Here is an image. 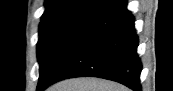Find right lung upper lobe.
Listing matches in <instances>:
<instances>
[{"instance_id": "1", "label": "right lung upper lobe", "mask_w": 173, "mask_h": 91, "mask_svg": "<svg viewBox=\"0 0 173 91\" xmlns=\"http://www.w3.org/2000/svg\"><path fill=\"white\" fill-rule=\"evenodd\" d=\"M104 0H46L45 12L41 24H50L61 21L79 20L88 21L100 11L106 9L102 5ZM117 3L120 0H111Z\"/></svg>"}]
</instances>
